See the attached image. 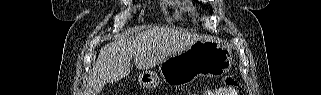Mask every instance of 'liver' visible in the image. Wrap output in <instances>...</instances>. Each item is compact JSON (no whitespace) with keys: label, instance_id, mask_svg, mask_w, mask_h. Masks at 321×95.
Segmentation results:
<instances>
[{"label":"liver","instance_id":"1","mask_svg":"<svg viewBox=\"0 0 321 95\" xmlns=\"http://www.w3.org/2000/svg\"><path fill=\"white\" fill-rule=\"evenodd\" d=\"M201 38L189 32L155 27L106 44L89 76L84 95H98L103 87L130 74V60L140 70L153 68Z\"/></svg>","mask_w":321,"mask_h":95}]
</instances>
